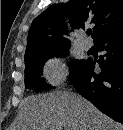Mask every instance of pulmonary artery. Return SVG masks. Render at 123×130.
Masks as SVG:
<instances>
[{
	"instance_id": "obj_1",
	"label": "pulmonary artery",
	"mask_w": 123,
	"mask_h": 130,
	"mask_svg": "<svg viewBox=\"0 0 123 130\" xmlns=\"http://www.w3.org/2000/svg\"><path fill=\"white\" fill-rule=\"evenodd\" d=\"M92 46V43L90 40L84 38L82 41H81V47L84 49V50H89Z\"/></svg>"
}]
</instances>
